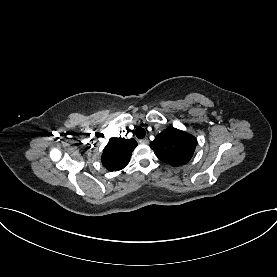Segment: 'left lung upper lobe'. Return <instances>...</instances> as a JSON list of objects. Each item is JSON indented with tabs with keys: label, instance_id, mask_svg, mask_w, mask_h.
I'll return each instance as SVG.
<instances>
[{
	"label": "left lung upper lobe",
	"instance_id": "left-lung-upper-lobe-1",
	"mask_svg": "<svg viewBox=\"0 0 277 277\" xmlns=\"http://www.w3.org/2000/svg\"><path fill=\"white\" fill-rule=\"evenodd\" d=\"M196 144L193 135L171 126L158 134L150 147L161 161L180 166L192 158Z\"/></svg>",
	"mask_w": 277,
	"mask_h": 277
}]
</instances>
